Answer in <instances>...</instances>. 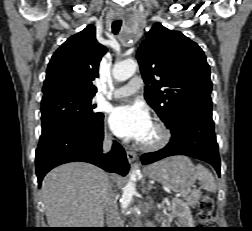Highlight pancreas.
Masks as SVG:
<instances>
[{"instance_id": "obj_1", "label": "pancreas", "mask_w": 252, "mask_h": 231, "mask_svg": "<svg viewBox=\"0 0 252 231\" xmlns=\"http://www.w3.org/2000/svg\"><path fill=\"white\" fill-rule=\"evenodd\" d=\"M201 195L202 193L199 190H195L191 194L186 195L184 199L186 200L188 205L195 207L198 204Z\"/></svg>"}]
</instances>
